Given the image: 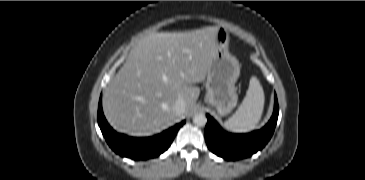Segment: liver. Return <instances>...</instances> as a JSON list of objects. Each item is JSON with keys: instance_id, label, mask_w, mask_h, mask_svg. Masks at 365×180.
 <instances>
[{"instance_id": "1", "label": "liver", "mask_w": 365, "mask_h": 180, "mask_svg": "<svg viewBox=\"0 0 365 180\" xmlns=\"http://www.w3.org/2000/svg\"><path fill=\"white\" fill-rule=\"evenodd\" d=\"M216 27L152 33L130 51L103 95V110L117 130L147 136L171 126L193 111L216 50ZM182 98L185 112L175 102Z\"/></svg>"}]
</instances>
